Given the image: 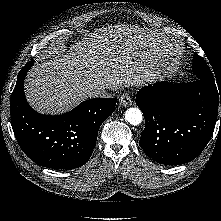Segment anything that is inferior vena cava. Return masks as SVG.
I'll list each match as a JSON object with an SVG mask.
<instances>
[{
	"label": "inferior vena cava",
	"instance_id": "obj_1",
	"mask_svg": "<svg viewBox=\"0 0 221 221\" xmlns=\"http://www.w3.org/2000/svg\"><path fill=\"white\" fill-rule=\"evenodd\" d=\"M90 97L109 98L111 95L105 88H95L89 92Z\"/></svg>",
	"mask_w": 221,
	"mask_h": 221
}]
</instances>
